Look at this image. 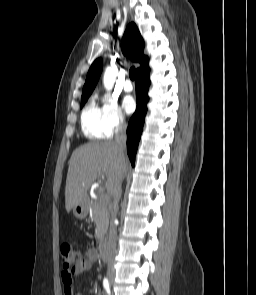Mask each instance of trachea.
<instances>
[{
    "instance_id": "trachea-1",
    "label": "trachea",
    "mask_w": 256,
    "mask_h": 295,
    "mask_svg": "<svg viewBox=\"0 0 256 295\" xmlns=\"http://www.w3.org/2000/svg\"><path fill=\"white\" fill-rule=\"evenodd\" d=\"M129 77H130L131 80L135 79V67L130 68Z\"/></svg>"
}]
</instances>
